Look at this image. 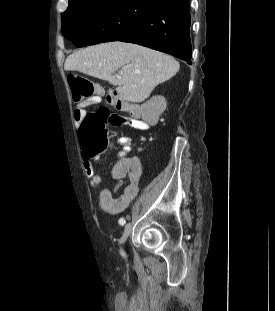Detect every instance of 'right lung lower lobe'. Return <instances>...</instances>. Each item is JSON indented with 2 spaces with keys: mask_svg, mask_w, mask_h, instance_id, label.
<instances>
[{
  "mask_svg": "<svg viewBox=\"0 0 275 311\" xmlns=\"http://www.w3.org/2000/svg\"><path fill=\"white\" fill-rule=\"evenodd\" d=\"M189 0H164L135 20L114 41L171 54L191 64Z\"/></svg>",
  "mask_w": 275,
  "mask_h": 311,
  "instance_id": "right-lung-lower-lobe-1",
  "label": "right lung lower lobe"
}]
</instances>
